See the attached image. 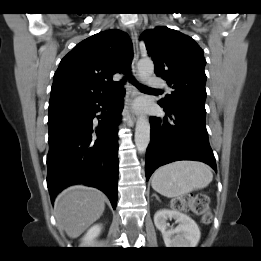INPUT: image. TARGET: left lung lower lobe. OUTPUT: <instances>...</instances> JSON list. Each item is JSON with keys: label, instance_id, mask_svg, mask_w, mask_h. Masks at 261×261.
Masks as SVG:
<instances>
[{"label": "left lung lower lobe", "instance_id": "left-lung-lower-lobe-1", "mask_svg": "<svg viewBox=\"0 0 261 261\" xmlns=\"http://www.w3.org/2000/svg\"><path fill=\"white\" fill-rule=\"evenodd\" d=\"M162 107L165 117H150L151 141L146 151V179L158 167L178 160L202 161L216 171L205 124L206 110L185 101L169 108Z\"/></svg>", "mask_w": 261, "mask_h": 261}]
</instances>
